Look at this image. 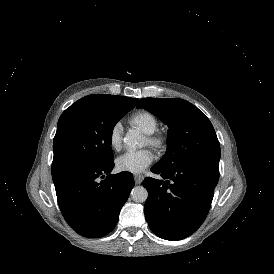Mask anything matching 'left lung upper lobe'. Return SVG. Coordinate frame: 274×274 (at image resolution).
Here are the masks:
<instances>
[{
	"label": "left lung upper lobe",
	"instance_id": "left-lung-upper-lobe-1",
	"mask_svg": "<svg viewBox=\"0 0 274 274\" xmlns=\"http://www.w3.org/2000/svg\"><path fill=\"white\" fill-rule=\"evenodd\" d=\"M137 107L168 126L167 151L157 163L167 168L191 163L219 166V141L210 120L193 104L176 98H144Z\"/></svg>",
	"mask_w": 274,
	"mask_h": 274
}]
</instances>
